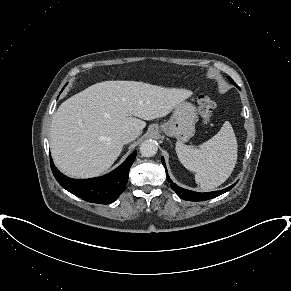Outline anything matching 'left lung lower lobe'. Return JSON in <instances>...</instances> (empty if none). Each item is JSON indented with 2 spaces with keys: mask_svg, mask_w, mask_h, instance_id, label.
<instances>
[{
  "mask_svg": "<svg viewBox=\"0 0 291 291\" xmlns=\"http://www.w3.org/2000/svg\"><path fill=\"white\" fill-rule=\"evenodd\" d=\"M162 163H163V166L165 167L166 179H167L168 182H170L171 188L177 193V195L180 198H182L184 200H187V201H205V200H209V199L215 198V197H217V196L229 191L236 184L235 183V184L229 186L226 189H222V190H219V191H213V192L199 193V192L190 191V190L184 189V188L179 187L178 185L174 184L171 181V179H170V177L168 175V172H167V169H166L165 160H164L163 157H162Z\"/></svg>",
  "mask_w": 291,
  "mask_h": 291,
  "instance_id": "1",
  "label": "left lung lower lobe"
}]
</instances>
